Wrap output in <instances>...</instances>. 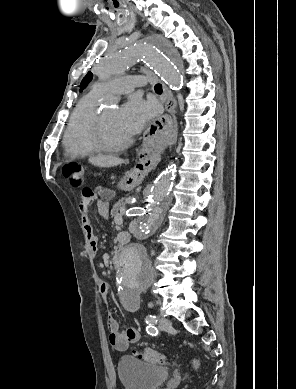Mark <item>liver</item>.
<instances>
[{
	"instance_id": "liver-1",
	"label": "liver",
	"mask_w": 296,
	"mask_h": 389,
	"mask_svg": "<svg viewBox=\"0 0 296 389\" xmlns=\"http://www.w3.org/2000/svg\"><path fill=\"white\" fill-rule=\"evenodd\" d=\"M89 163L98 167H114L124 163V160L118 157L98 155L89 158Z\"/></svg>"
}]
</instances>
